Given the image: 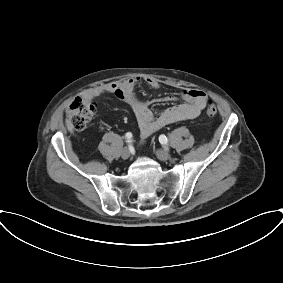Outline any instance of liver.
Masks as SVG:
<instances>
[{"mask_svg": "<svg viewBox=\"0 0 283 283\" xmlns=\"http://www.w3.org/2000/svg\"><path fill=\"white\" fill-rule=\"evenodd\" d=\"M66 124H67L68 130H69V131H72V130H73L72 124H71L68 120H66Z\"/></svg>", "mask_w": 283, "mask_h": 283, "instance_id": "6515ba94", "label": "liver"}]
</instances>
